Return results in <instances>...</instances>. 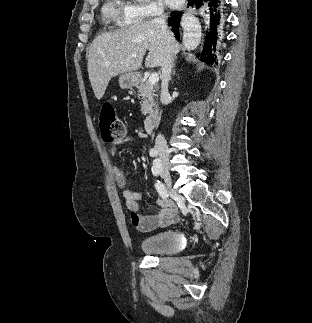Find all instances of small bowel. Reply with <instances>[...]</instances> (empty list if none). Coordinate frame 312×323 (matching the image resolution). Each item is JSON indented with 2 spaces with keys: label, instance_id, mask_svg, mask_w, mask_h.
I'll list each match as a JSON object with an SVG mask.
<instances>
[{
  "label": "small bowel",
  "instance_id": "obj_1",
  "mask_svg": "<svg viewBox=\"0 0 312 323\" xmlns=\"http://www.w3.org/2000/svg\"><path fill=\"white\" fill-rule=\"evenodd\" d=\"M130 141L131 138L129 136L123 137L109 148V153L115 155L118 145L126 144ZM111 172L122 191L125 206L131 212V223L138 231L144 233L152 232L159 228L170 226L179 220L177 209L172 201H160L161 210L158 214L141 215L138 204L140 194L127 188L126 177L117 165L111 167Z\"/></svg>",
  "mask_w": 312,
  "mask_h": 323
}]
</instances>
